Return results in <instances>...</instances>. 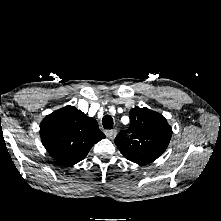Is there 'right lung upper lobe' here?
Instances as JSON below:
<instances>
[{
  "mask_svg": "<svg viewBox=\"0 0 221 221\" xmlns=\"http://www.w3.org/2000/svg\"><path fill=\"white\" fill-rule=\"evenodd\" d=\"M40 136L48 153L62 166L83 160L91 147L105 138L95 119L70 105L43 119Z\"/></svg>",
  "mask_w": 221,
  "mask_h": 221,
  "instance_id": "1",
  "label": "right lung upper lobe"
}]
</instances>
